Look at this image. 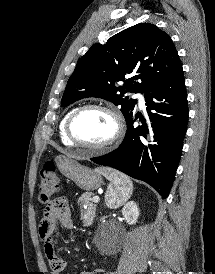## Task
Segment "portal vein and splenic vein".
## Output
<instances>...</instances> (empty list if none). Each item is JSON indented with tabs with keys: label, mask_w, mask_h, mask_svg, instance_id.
<instances>
[{
	"label": "portal vein and splenic vein",
	"mask_w": 215,
	"mask_h": 274,
	"mask_svg": "<svg viewBox=\"0 0 215 274\" xmlns=\"http://www.w3.org/2000/svg\"><path fill=\"white\" fill-rule=\"evenodd\" d=\"M99 200H100L99 196H94V197H93V201H94L95 203H98Z\"/></svg>",
	"instance_id": "portal-vein-and-splenic-vein-1"
}]
</instances>
